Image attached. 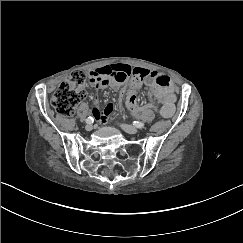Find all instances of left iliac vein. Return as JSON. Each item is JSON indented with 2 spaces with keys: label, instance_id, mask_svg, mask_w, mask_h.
<instances>
[{
  "label": "left iliac vein",
  "instance_id": "left-iliac-vein-1",
  "mask_svg": "<svg viewBox=\"0 0 243 243\" xmlns=\"http://www.w3.org/2000/svg\"><path fill=\"white\" fill-rule=\"evenodd\" d=\"M120 127L129 134H136L138 133V129L131 125L121 124Z\"/></svg>",
  "mask_w": 243,
  "mask_h": 243
}]
</instances>
